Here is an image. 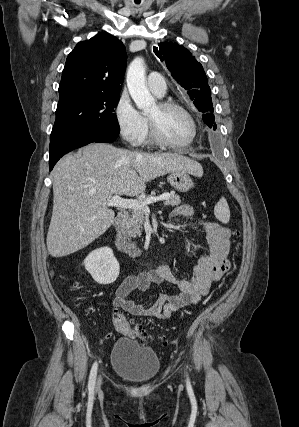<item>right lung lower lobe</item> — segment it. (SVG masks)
<instances>
[{
  "instance_id": "98d812e1",
  "label": "right lung lower lobe",
  "mask_w": 299,
  "mask_h": 427,
  "mask_svg": "<svg viewBox=\"0 0 299 427\" xmlns=\"http://www.w3.org/2000/svg\"><path fill=\"white\" fill-rule=\"evenodd\" d=\"M118 133L101 131H71L50 139L49 169H53L56 162L66 153L92 142H113Z\"/></svg>"
}]
</instances>
